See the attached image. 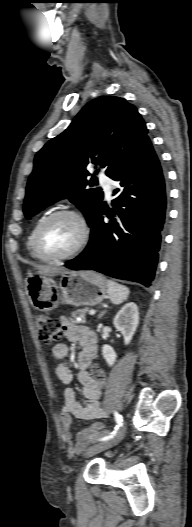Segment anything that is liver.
<instances>
[{
  "label": "liver",
  "instance_id": "1",
  "mask_svg": "<svg viewBox=\"0 0 192 527\" xmlns=\"http://www.w3.org/2000/svg\"><path fill=\"white\" fill-rule=\"evenodd\" d=\"M35 270L37 273L44 276H56L60 273L66 272L65 268L49 266V265H36Z\"/></svg>",
  "mask_w": 192,
  "mask_h": 527
}]
</instances>
